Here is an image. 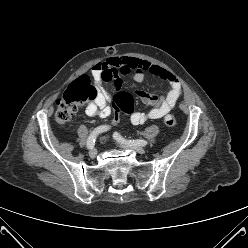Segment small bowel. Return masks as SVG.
Masks as SVG:
<instances>
[{
  "instance_id": "1",
  "label": "small bowel",
  "mask_w": 248,
  "mask_h": 248,
  "mask_svg": "<svg viewBox=\"0 0 248 248\" xmlns=\"http://www.w3.org/2000/svg\"><path fill=\"white\" fill-rule=\"evenodd\" d=\"M119 74L131 75L139 83L143 82L146 75L149 74L167 82L169 85V89L159 96L141 90L135 92L136 97L141 102L151 105L152 108L147 113L135 112L133 116H130L133 125L143 124L148 119L162 118L174 108L183 93L181 81L172 72L145 60L111 57L96 64L92 69L98 94L96 99L87 105L85 110L87 116L101 119L110 116V96L104 91L102 84L114 80L116 87H120Z\"/></svg>"
}]
</instances>
